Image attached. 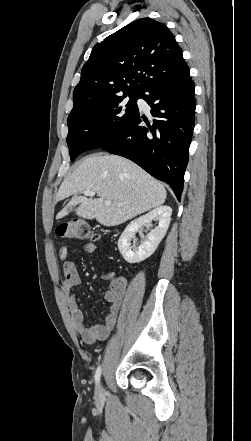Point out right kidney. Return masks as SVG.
<instances>
[{
	"instance_id": "obj_1",
	"label": "right kidney",
	"mask_w": 251,
	"mask_h": 441,
	"mask_svg": "<svg viewBox=\"0 0 251 441\" xmlns=\"http://www.w3.org/2000/svg\"><path fill=\"white\" fill-rule=\"evenodd\" d=\"M171 214L172 209L169 206H159L128 224L118 240V249L125 261L139 263L155 252L168 230ZM154 219L159 221L158 226L147 234L145 240L141 241L137 248L135 245L132 247L131 241L135 238V233L144 224Z\"/></svg>"
}]
</instances>
